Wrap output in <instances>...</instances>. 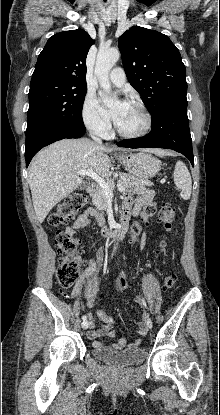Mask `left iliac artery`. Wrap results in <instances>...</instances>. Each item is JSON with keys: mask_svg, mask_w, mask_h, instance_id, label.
I'll use <instances>...</instances> for the list:
<instances>
[{"mask_svg": "<svg viewBox=\"0 0 220 415\" xmlns=\"http://www.w3.org/2000/svg\"><path fill=\"white\" fill-rule=\"evenodd\" d=\"M140 304L143 308H146V302H145V299L143 298V296L140 297Z\"/></svg>", "mask_w": 220, "mask_h": 415, "instance_id": "1", "label": "left iliac artery"}]
</instances>
